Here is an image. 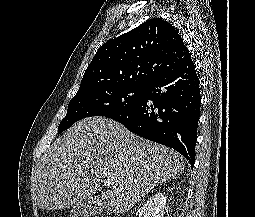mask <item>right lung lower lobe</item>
Here are the masks:
<instances>
[{
	"label": "right lung lower lobe",
	"instance_id": "obj_1",
	"mask_svg": "<svg viewBox=\"0 0 255 217\" xmlns=\"http://www.w3.org/2000/svg\"><path fill=\"white\" fill-rule=\"evenodd\" d=\"M200 81L192 60L146 86L132 107L106 117L148 140L175 149L191 164L200 116Z\"/></svg>",
	"mask_w": 255,
	"mask_h": 217
}]
</instances>
